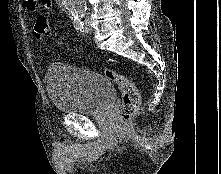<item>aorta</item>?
<instances>
[{"label":"aorta","mask_w":221,"mask_h":174,"mask_svg":"<svg viewBox=\"0 0 221 174\" xmlns=\"http://www.w3.org/2000/svg\"><path fill=\"white\" fill-rule=\"evenodd\" d=\"M65 10L75 19L82 17L86 11V0H63Z\"/></svg>","instance_id":"obj_1"}]
</instances>
